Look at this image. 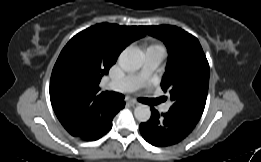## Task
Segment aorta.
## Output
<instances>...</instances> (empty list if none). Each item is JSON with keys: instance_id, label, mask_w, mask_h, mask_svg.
<instances>
[{"instance_id": "762f6f07", "label": "aorta", "mask_w": 261, "mask_h": 162, "mask_svg": "<svg viewBox=\"0 0 261 162\" xmlns=\"http://www.w3.org/2000/svg\"><path fill=\"white\" fill-rule=\"evenodd\" d=\"M118 62L124 71L133 73L141 68L142 56L137 50L128 49L120 54ZM134 116L140 122H147L151 117V110L147 105H139L134 110Z\"/></svg>"}]
</instances>
